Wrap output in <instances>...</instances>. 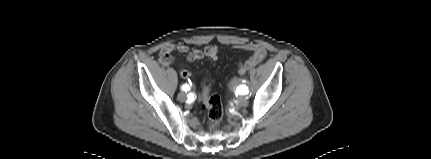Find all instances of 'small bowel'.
I'll return each instance as SVG.
<instances>
[{"instance_id": "1", "label": "small bowel", "mask_w": 431, "mask_h": 159, "mask_svg": "<svg viewBox=\"0 0 431 159\" xmlns=\"http://www.w3.org/2000/svg\"><path fill=\"white\" fill-rule=\"evenodd\" d=\"M236 49L240 50H246L253 52V55L244 63H242V66L244 67L246 71L250 70L251 68L258 65L260 62H262L266 57V49L260 45L255 43H244L240 45L235 46ZM179 52V53H187L189 51V48L184 43H177V44H166L162 47L159 53V62L163 66H170L174 63V57L172 56V52ZM219 49L217 46L209 45L204 48V50H193L188 53L187 60L188 62H194L196 60H200L203 57H209L213 60L218 58Z\"/></svg>"}]
</instances>
